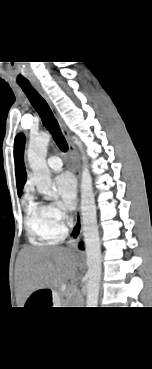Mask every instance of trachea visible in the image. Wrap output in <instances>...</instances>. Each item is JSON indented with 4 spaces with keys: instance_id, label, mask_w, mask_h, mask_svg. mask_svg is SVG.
<instances>
[{
    "instance_id": "obj_1",
    "label": "trachea",
    "mask_w": 152,
    "mask_h": 369,
    "mask_svg": "<svg viewBox=\"0 0 152 369\" xmlns=\"http://www.w3.org/2000/svg\"><path fill=\"white\" fill-rule=\"evenodd\" d=\"M19 85L40 115L44 126L52 134V137L60 150L66 152L68 150V144L62 135L59 124L45 99L39 95V93L31 86L30 83H19Z\"/></svg>"
}]
</instances>
